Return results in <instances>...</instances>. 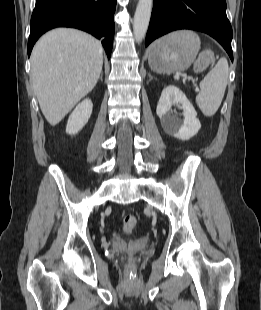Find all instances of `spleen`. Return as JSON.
I'll list each match as a JSON object with an SVG mask.
<instances>
[{"mask_svg": "<svg viewBox=\"0 0 261 310\" xmlns=\"http://www.w3.org/2000/svg\"><path fill=\"white\" fill-rule=\"evenodd\" d=\"M228 75V61L226 58H221L200 82L201 92L196 96V103L206 117L213 116L220 107Z\"/></svg>", "mask_w": 261, "mask_h": 310, "instance_id": "obj_1", "label": "spleen"}]
</instances>
